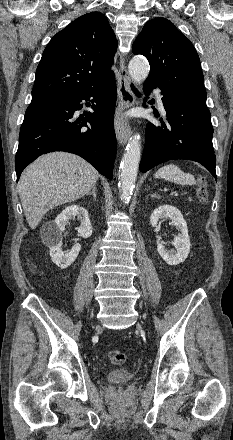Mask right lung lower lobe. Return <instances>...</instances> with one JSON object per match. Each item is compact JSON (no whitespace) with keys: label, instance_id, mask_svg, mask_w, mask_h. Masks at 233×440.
I'll return each mask as SVG.
<instances>
[{"label":"right lung lower lobe","instance_id":"98d812e1","mask_svg":"<svg viewBox=\"0 0 233 440\" xmlns=\"http://www.w3.org/2000/svg\"><path fill=\"white\" fill-rule=\"evenodd\" d=\"M96 102L93 113L75 121L74 112L82 109V100ZM114 76L85 91L32 99L19 134L15 158L17 180L23 169L38 156L52 151L77 154L102 175L112 179L116 156ZM87 122L91 128L86 129Z\"/></svg>","mask_w":233,"mask_h":440}]
</instances>
